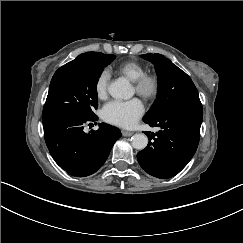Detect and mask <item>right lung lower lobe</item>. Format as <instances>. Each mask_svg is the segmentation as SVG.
Here are the masks:
<instances>
[{
	"label": "right lung lower lobe",
	"mask_w": 243,
	"mask_h": 243,
	"mask_svg": "<svg viewBox=\"0 0 243 243\" xmlns=\"http://www.w3.org/2000/svg\"><path fill=\"white\" fill-rule=\"evenodd\" d=\"M97 119V116L65 115L43 123L45 142L51 156L72 176L85 177L96 172L121 136L118 128L105 123H99L96 131L85 133L84 124Z\"/></svg>",
	"instance_id": "obj_1"
}]
</instances>
